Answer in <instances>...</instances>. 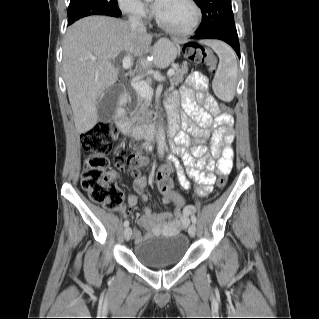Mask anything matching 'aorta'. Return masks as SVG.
<instances>
[{
  "instance_id": "aorta-1",
  "label": "aorta",
  "mask_w": 319,
  "mask_h": 319,
  "mask_svg": "<svg viewBox=\"0 0 319 319\" xmlns=\"http://www.w3.org/2000/svg\"><path fill=\"white\" fill-rule=\"evenodd\" d=\"M165 148V132L163 127L161 126L157 133V151L159 157H163Z\"/></svg>"
}]
</instances>
